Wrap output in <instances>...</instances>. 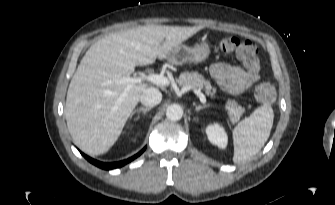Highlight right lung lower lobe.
I'll use <instances>...</instances> for the list:
<instances>
[{
  "instance_id": "right-lung-lower-lobe-1",
  "label": "right lung lower lobe",
  "mask_w": 335,
  "mask_h": 205,
  "mask_svg": "<svg viewBox=\"0 0 335 205\" xmlns=\"http://www.w3.org/2000/svg\"><path fill=\"white\" fill-rule=\"evenodd\" d=\"M146 147H144L139 153H137L136 155H134L133 157H130L126 160L120 161V162H114V163H103L97 160H94L92 158H90L89 156L85 155L84 153L81 152V154L92 164L105 169V170H110V169H114V168H118V167H122L125 164L131 162L132 160H134L135 158H137L138 156H140L144 151H145Z\"/></svg>"
}]
</instances>
